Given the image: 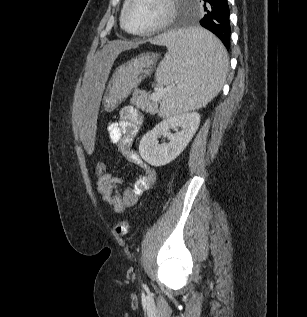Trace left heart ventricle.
<instances>
[{"instance_id":"left-heart-ventricle-1","label":"left heart ventricle","mask_w":307,"mask_h":317,"mask_svg":"<svg viewBox=\"0 0 307 317\" xmlns=\"http://www.w3.org/2000/svg\"><path fill=\"white\" fill-rule=\"evenodd\" d=\"M165 0H135L126 14V24L132 31H142L159 23L166 16Z\"/></svg>"}]
</instances>
